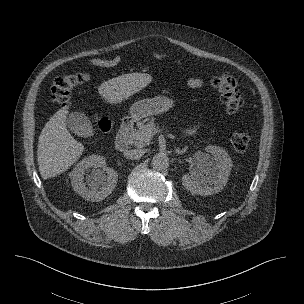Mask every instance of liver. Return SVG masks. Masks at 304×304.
I'll list each match as a JSON object with an SVG mask.
<instances>
[{"mask_svg":"<svg viewBox=\"0 0 304 304\" xmlns=\"http://www.w3.org/2000/svg\"><path fill=\"white\" fill-rule=\"evenodd\" d=\"M152 81L146 73L118 76L101 84V97L110 104L121 103ZM68 107L59 109L45 124L39 136L37 161L41 177H55L72 166L82 155L84 146L67 130Z\"/></svg>","mask_w":304,"mask_h":304,"instance_id":"1","label":"liver"}]
</instances>
